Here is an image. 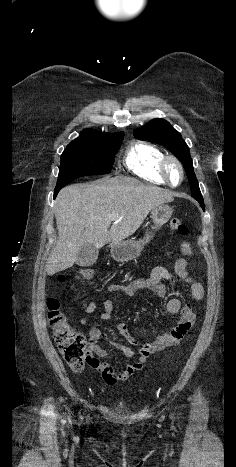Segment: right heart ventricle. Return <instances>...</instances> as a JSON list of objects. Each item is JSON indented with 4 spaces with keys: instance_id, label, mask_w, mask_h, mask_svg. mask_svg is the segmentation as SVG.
Instances as JSON below:
<instances>
[{
    "instance_id": "right-heart-ventricle-1",
    "label": "right heart ventricle",
    "mask_w": 236,
    "mask_h": 467,
    "mask_svg": "<svg viewBox=\"0 0 236 467\" xmlns=\"http://www.w3.org/2000/svg\"><path fill=\"white\" fill-rule=\"evenodd\" d=\"M163 152L154 145L133 143L127 150L123 165L139 178L154 184H167L160 173Z\"/></svg>"
}]
</instances>
